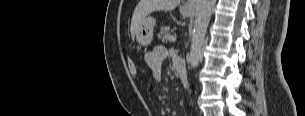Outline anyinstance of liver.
Listing matches in <instances>:
<instances>
[{
  "label": "liver",
  "instance_id": "obj_1",
  "mask_svg": "<svg viewBox=\"0 0 305 116\" xmlns=\"http://www.w3.org/2000/svg\"><path fill=\"white\" fill-rule=\"evenodd\" d=\"M180 0H140L136 6L130 26L131 37L134 39L143 20L154 11H172Z\"/></svg>",
  "mask_w": 305,
  "mask_h": 116
}]
</instances>
